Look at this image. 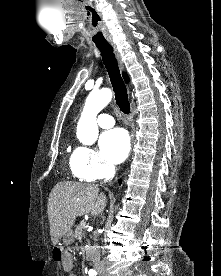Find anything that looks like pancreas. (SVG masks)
<instances>
[{
	"label": "pancreas",
	"mask_w": 221,
	"mask_h": 276,
	"mask_svg": "<svg viewBox=\"0 0 221 276\" xmlns=\"http://www.w3.org/2000/svg\"><path fill=\"white\" fill-rule=\"evenodd\" d=\"M86 228L85 222H81L76 225L75 237L79 242L82 241V238L85 237V232L83 231Z\"/></svg>",
	"instance_id": "obj_1"
}]
</instances>
